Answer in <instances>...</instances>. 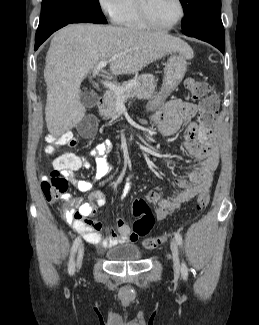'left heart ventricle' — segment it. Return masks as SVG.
I'll return each instance as SVG.
<instances>
[{
	"label": "left heart ventricle",
	"instance_id": "obj_1",
	"mask_svg": "<svg viewBox=\"0 0 259 325\" xmlns=\"http://www.w3.org/2000/svg\"><path fill=\"white\" fill-rule=\"evenodd\" d=\"M151 20L161 26L172 24L179 14L176 0H146Z\"/></svg>",
	"mask_w": 259,
	"mask_h": 325
}]
</instances>
